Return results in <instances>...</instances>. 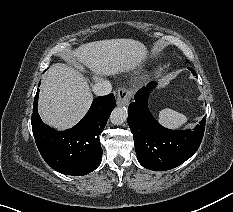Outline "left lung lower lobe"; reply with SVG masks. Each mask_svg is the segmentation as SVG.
<instances>
[{
  "label": "left lung lower lobe",
  "instance_id": "obj_1",
  "mask_svg": "<svg viewBox=\"0 0 233 212\" xmlns=\"http://www.w3.org/2000/svg\"><path fill=\"white\" fill-rule=\"evenodd\" d=\"M189 69L196 76L195 71ZM156 85V82H151L135 94V101L128 108V124L139 163L153 171H164L179 166L196 152L202 141L206 117L194 130L164 128L147 106L149 93Z\"/></svg>",
  "mask_w": 233,
  "mask_h": 212
}]
</instances>
